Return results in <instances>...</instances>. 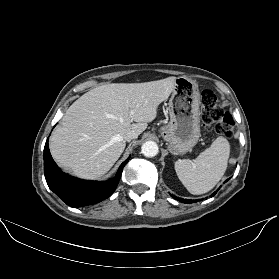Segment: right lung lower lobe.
<instances>
[{
  "mask_svg": "<svg viewBox=\"0 0 279 279\" xmlns=\"http://www.w3.org/2000/svg\"><path fill=\"white\" fill-rule=\"evenodd\" d=\"M126 159L119 167L116 176L105 182L87 181L63 173L51 157L48 141L44 147V172L49 188L71 207H81L98 203L115 191L120 180Z\"/></svg>",
  "mask_w": 279,
  "mask_h": 279,
  "instance_id": "obj_1",
  "label": "right lung lower lobe"
}]
</instances>
